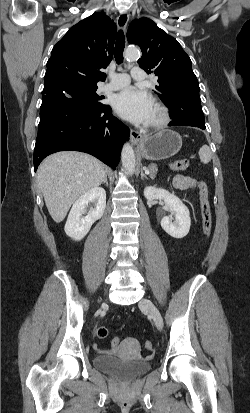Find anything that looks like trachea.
<instances>
[{
    "label": "trachea",
    "mask_w": 250,
    "mask_h": 413,
    "mask_svg": "<svg viewBox=\"0 0 250 413\" xmlns=\"http://www.w3.org/2000/svg\"><path fill=\"white\" fill-rule=\"evenodd\" d=\"M125 47V38L123 31L120 30L117 35L115 49H114V56L117 64H121L123 62V51Z\"/></svg>",
    "instance_id": "trachea-1"
}]
</instances>
